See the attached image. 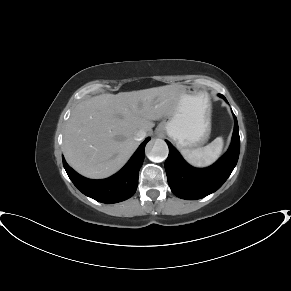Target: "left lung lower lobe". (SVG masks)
Listing matches in <instances>:
<instances>
[{"instance_id": "0a47b994", "label": "left lung lower lobe", "mask_w": 291, "mask_h": 291, "mask_svg": "<svg viewBox=\"0 0 291 291\" xmlns=\"http://www.w3.org/2000/svg\"><path fill=\"white\" fill-rule=\"evenodd\" d=\"M220 97L226 98L219 94ZM231 145L226 154L208 168H194L187 164L168 141L169 155L165 161L167 179L172 192L179 198L195 200L218 190L232 173L240 152V137L237 119Z\"/></svg>"}]
</instances>
